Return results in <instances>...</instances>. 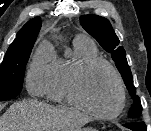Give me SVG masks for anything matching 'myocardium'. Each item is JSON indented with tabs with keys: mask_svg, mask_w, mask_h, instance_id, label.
I'll use <instances>...</instances> for the list:
<instances>
[{
	"mask_svg": "<svg viewBox=\"0 0 151 131\" xmlns=\"http://www.w3.org/2000/svg\"><path fill=\"white\" fill-rule=\"evenodd\" d=\"M98 66L106 67L113 74L119 89V104L115 111L109 114L94 110L86 100L83 92V83L86 77L94 68ZM67 92L70 100L75 105L80 107L91 116L102 120H111L118 117L126 105V88L120 73L111 63L100 57L87 60L72 74L68 81Z\"/></svg>",
	"mask_w": 151,
	"mask_h": 131,
	"instance_id": "f54148a6",
	"label": "myocardium"
}]
</instances>
